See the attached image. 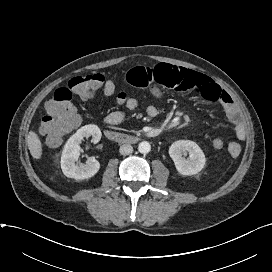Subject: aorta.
Listing matches in <instances>:
<instances>
[{
    "mask_svg": "<svg viewBox=\"0 0 272 272\" xmlns=\"http://www.w3.org/2000/svg\"><path fill=\"white\" fill-rule=\"evenodd\" d=\"M138 150L142 154H147L151 150V145L147 141H143L139 144Z\"/></svg>",
    "mask_w": 272,
    "mask_h": 272,
    "instance_id": "1",
    "label": "aorta"
}]
</instances>
